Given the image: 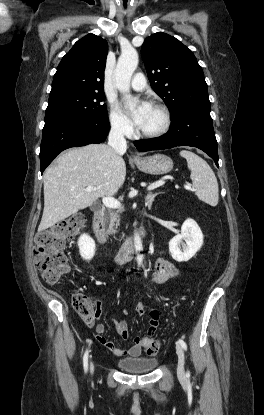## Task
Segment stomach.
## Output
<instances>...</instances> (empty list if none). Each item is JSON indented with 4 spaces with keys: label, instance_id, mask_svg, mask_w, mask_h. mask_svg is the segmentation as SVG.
Instances as JSON below:
<instances>
[{
    "label": "stomach",
    "instance_id": "0dacf381",
    "mask_svg": "<svg viewBox=\"0 0 264 415\" xmlns=\"http://www.w3.org/2000/svg\"><path fill=\"white\" fill-rule=\"evenodd\" d=\"M137 168L152 175L169 173L173 169V161L166 155L155 154L135 161Z\"/></svg>",
    "mask_w": 264,
    "mask_h": 415
}]
</instances>
